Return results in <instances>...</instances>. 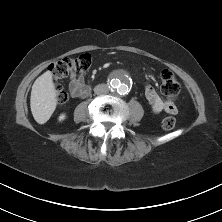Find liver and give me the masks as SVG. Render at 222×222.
Here are the masks:
<instances>
[{
	"label": "liver",
	"mask_w": 222,
	"mask_h": 222,
	"mask_svg": "<svg viewBox=\"0 0 222 222\" xmlns=\"http://www.w3.org/2000/svg\"><path fill=\"white\" fill-rule=\"evenodd\" d=\"M57 106V94L52 73L46 71L34 82L31 90L30 107L38 124L46 123Z\"/></svg>",
	"instance_id": "6515ba94"
}]
</instances>
